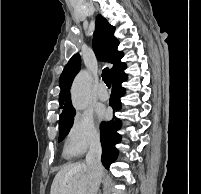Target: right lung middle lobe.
Listing matches in <instances>:
<instances>
[{
	"label": "right lung middle lobe",
	"mask_w": 201,
	"mask_h": 194,
	"mask_svg": "<svg viewBox=\"0 0 201 194\" xmlns=\"http://www.w3.org/2000/svg\"><path fill=\"white\" fill-rule=\"evenodd\" d=\"M74 115L75 114H72L68 117L59 119V125H60L59 141H62L65 138V136L68 134V132L73 124V116Z\"/></svg>",
	"instance_id": "1"
}]
</instances>
